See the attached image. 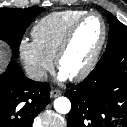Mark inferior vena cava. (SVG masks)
<instances>
[{
	"mask_svg": "<svg viewBox=\"0 0 127 127\" xmlns=\"http://www.w3.org/2000/svg\"><path fill=\"white\" fill-rule=\"evenodd\" d=\"M27 77L34 81H44L47 79V72L43 69L28 68L26 70Z\"/></svg>",
	"mask_w": 127,
	"mask_h": 127,
	"instance_id": "obj_1",
	"label": "inferior vena cava"
}]
</instances>
